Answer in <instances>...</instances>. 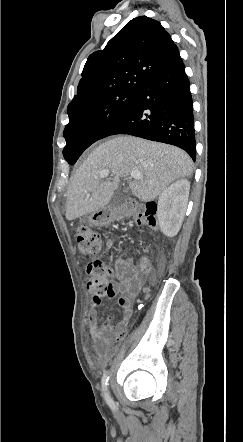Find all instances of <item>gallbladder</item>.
<instances>
[{
  "mask_svg": "<svg viewBox=\"0 0 243 442\" xmlns=\"http://www.w3.org/2000/svg\"><path fill=\"white\" fill-rule=\"evenodd\" d=\"M123 191L127 193L129 191V189L127 187H124Z\"/></svg>",
  "mask_w": 243,
  "mask_h": 442,
  "instance_id": "obj_1",
  "label": "gallbladder"
}]
</instances>
